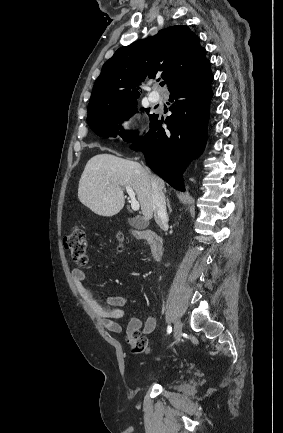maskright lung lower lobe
I'll return each instance as SVG.
<instances>
[{
    "label": "right lung lower lobe",
    "instance_id": "right-lung-lower-lobe-1",
    "mask_svg": "<svg viewBox=\"0 0 283 433\" xmlns=\"http://www.w3.org/2000/svg\"><path fill=\"white\" fill-rule=\"evenodd\" d=\"M213 75L189 86L170 91L172 115L165 120L155 115L148 133L130 147L143 151L146 163L171 186L185 191L182 174L190 160L198 158L207 140L211 82Z\"/></svg>",
    "mask_w": 283,
    "mask_h": 433
}]
</instances>
